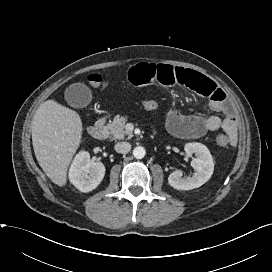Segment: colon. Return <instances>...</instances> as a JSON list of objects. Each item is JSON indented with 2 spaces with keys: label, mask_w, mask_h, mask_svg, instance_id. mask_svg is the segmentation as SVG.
I'll return each mask as SVG.
<instances>
[{
  "label": "colon",
  "mask_w": 272,
  "mask_h": 272,
  "mask_svg": "<svg viewBox=\"0 0 272 272\" xmlns=\"http://www.w3.org/2000/svg\"><path fill=\"white\" fill-rule=\"evenodd\" d=\"M88 80L89 83L94 87L104 86L105 84L104 78L98 73L89 75ZM141 106L147 111H155L160 107V104L155 100L144 99L141 101ZM216 141L217 144L221 147H226L230 143L229 138L224 134L218 135Z\"/></svg>",
  "instance_id": "1"
}]
</instances>
